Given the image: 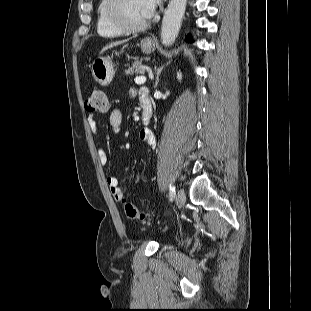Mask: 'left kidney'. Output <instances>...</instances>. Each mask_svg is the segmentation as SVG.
I'll use <instances>...</instances> for the list:
<instances>
[{"mask_svg": "<svg viewBox=\"0 0 311 311\" xmlns=\"http://www.w3.org/2000/svg\"><path fill=\"white\" fill-rule=\"evenodd\" d=\"M177 78H178L179 80H181V78H182L181 73H177Z\"/></svg>", "mask_w": 311, "mask_h": 311, "instance_id": "5707ae66", "label": "left kidney"}]
</instances>
